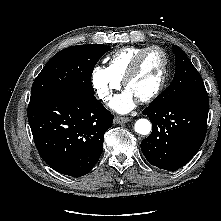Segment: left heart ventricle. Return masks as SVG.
Masks as SVG:
<instances>
[{
  "instance_id": "b2bd125f",
  "label": "left heart ventricle",
  "mask_w": 221,
  "mask_h": 221,
  "mask_svg": "<svg viewBox=\"0 0 221 221\" xmlns=\"http://www.w3.org/2000/svg\"><path fill=\"white\" fill-rule=\"evenodd\" d=\"M163 68V57L160 52L152 50L144 57L137 74L127 85L136 99L151 93L157 86Z\"/></svg>"
}]
</instances>
